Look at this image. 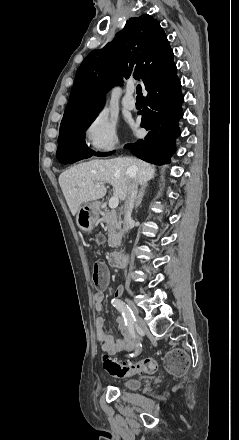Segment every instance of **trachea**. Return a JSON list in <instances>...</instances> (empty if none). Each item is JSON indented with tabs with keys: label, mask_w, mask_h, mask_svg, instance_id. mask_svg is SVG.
<instances>
[{
	"label": "trachea",
	"mask_w": 239,
	"mask_h": 440,
	"mask_svg": "<svg viewBox=\"0 0 239 440\" xmlns=\"http://www.w3.org/2000/svg\"><path fill=\"white\" fill-rule=\"evenodd\" d=\"M136 93H137V99L138 98H142V88H141V85H137V88H136Z\"/></svg>",
	"instance_id": "obj_1"
}]
</instances>
